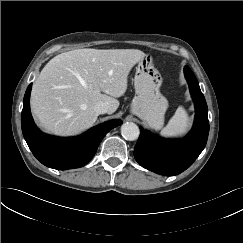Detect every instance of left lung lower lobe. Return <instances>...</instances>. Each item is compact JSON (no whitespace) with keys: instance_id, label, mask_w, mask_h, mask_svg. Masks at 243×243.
<instances>
[{"instance_id":"obj_1","label":"left lung lower lobe","mask_w":243,"mask_h":243,"mask_svg":"<svg viewBox=\"0 0 243 243\" xmlns=\"http://www.w3.org/2000/svg\"><path fill=\"white\" fill-rule=\"evenodd\" d=\"M184 72L196 109L191 132L180 140H163L140 127V137L134 148V157L141 166L164 176L177 175L186 170L204 149L209 133L205 98L190 68L185 66Z\"/></svg>"}]
</instances>
